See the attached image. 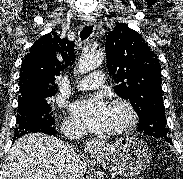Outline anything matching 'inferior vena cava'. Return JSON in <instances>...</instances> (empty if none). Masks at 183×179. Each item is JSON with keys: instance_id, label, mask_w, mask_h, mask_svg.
Wrapping results in <instances>:
<instances>
[{"instance_id": "inferior-vena-cava-1", "label": "inferior vena cava", "mask_w": 183, "mask_h": 179, "mask_svg": "<svg viewBox=\"0 0 183 179\" xmlns=\"http://www.w3.org/2000/svg\"><path fill=\"white\" fill-rule=\"evenodd\" d=\"M65 136L69 139H78L82 136V131L77 128H70L65 131ZM68 179H84L80 155H78L73 149H71L68 162Z\"/></svg>"}]
</instances>
